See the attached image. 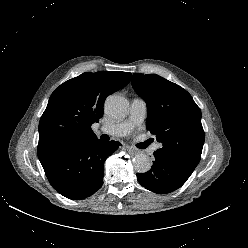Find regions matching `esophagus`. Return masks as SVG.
Masks as SVG:
<instances>
[{
  "label": "esophagus",
  "mask_w": 248,
  "mask_h": 248,
  "mask_svg": "<svg viewBox=\"0 0 248 248\" xmlns=\"http://www.w3.org/2000/svg\"><path fill=\"white\" fill-rule=\"evenodd\" d=\"M127 150L129 152V154H131V155H136L139 152L137 149H135L133 147H128Z\"/></svg>",
  "instance_id": "esophagus-1"
}]
</instances>
